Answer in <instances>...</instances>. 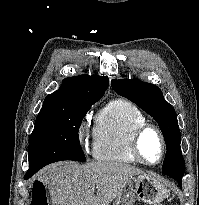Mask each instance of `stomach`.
<instances>
[{"label": "stomach", "mask_w": 199, "mask_h": 205, "mask_svg": "<svg viewBox=\"0 0 199 205\" xmlns=\"http://www.w3.org/2000/svg\"><path fill=\"white\" fill-rule=\"evenodd\" d=\"M167 192L165 185L157 178L146 174L137 175L124 182L113 205H133L136 200L148 205H161Z\"/></svg>", "instance_id": "0dacf381"}]
</instances>
